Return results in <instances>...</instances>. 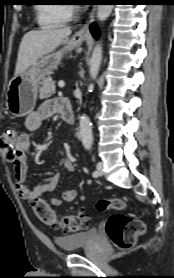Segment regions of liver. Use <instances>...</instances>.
<instances>
[{"instance_id": "liver-1", "label": "liver", "mask_w": 174, "mask_h": 278, "mask_svg": "<svg viewBox=\"0 0 174 278\" xmlns=\"http://www.w3.org/2000/svg\"><path fill=\"white\" fill-rule=\"evenodd\" d=\"M71 33L70 27L27 32L19 46L15 76L27 70L39 58L54 51Z\"/></svg>"}]
</instances>
